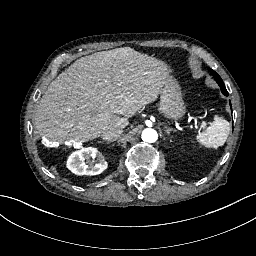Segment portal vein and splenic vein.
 Listing matches in <instances>:
<instances>
[{
	"instance_id": "portal-vein-and-splenic-vein-1",
	"label": "portal vein and splenic vein",
	"mask_w": 256,
	"mask_h": 256,
	"mask_svg": "<svg viewBox=\"0 0 256 256\" xmlns=\"http://www.w3.org/2000/svg\"><path fill=\"white\" fill-rule=\"evenodd\" d=\"M194 131H197L199 134L203 133L202 127H198L196 125H192Z\"/></svg>"
}]
</instances>
